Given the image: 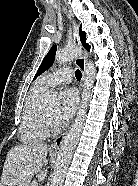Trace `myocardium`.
Here are the masks:
<instances>
[{
    "label": "myocardium",
    "mask_w": 138,
    "mask_h": 186,
    "mask_svg": "<svg viewBox=\"0 0 138 186\" xmlns=\"http://www.w3.org/2000/svg\"><path fill=\"white\" fill-rule=\"evenodd\" d=\"M40 125L47 134H56L60 131L58 126H54L47 113V108L44 105L40 113Z\"/></svg>",
    "instance_id": "1"
}]
</instances>
